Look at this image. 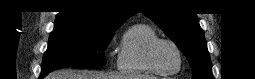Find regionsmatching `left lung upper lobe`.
<instances>
[{"mask_svg": "<svg viewBox=\"0 0 255 79\" xmlns=\"http://www.w3.org/2000/svg\"><path fill=\"white\" fill-rule=\"evenodd\" d=\"M151 4L144 14L185 54L193 68V79H213L206 39L196 14L178 12L168 1H151Z\"/></svg>", "mask_w": 255, "mask_h": 79, "instance_id": "obj_1", "label": "left lung upper lobe"}]
</instances>
